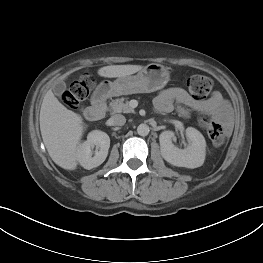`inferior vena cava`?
Returning a JSON list of instances; mask_svg holds the SVG:
<instances>
[{
	"label": "inferior vena cava",
	"mask_w": 263,
	"mask_h": 263,
	"mask_svg": "<svg viewBox=\"0 0 263 263\" xmlns=\"http://www.w3.org/2000/svg\"><path fill=\"white\" fill-rule=\"evenodd\" d=\"M110 122L114 126H123L126 123V118L121 114H115L110 118Z\"/></svg>",
	"instance_id": "obj_1"
}]
</instances>
